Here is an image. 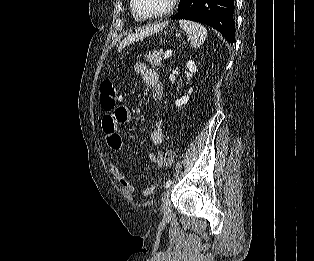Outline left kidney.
<instances>
[{"label":"left kidney","instance_id":"5707ae66","mask_svg":"<svg viewBox=\"0 0 314 261\" xmlns=\"http://www.w3.org/2000/svg\"><path fill=\"white\" fill-rule=\"evenodd\" d=\"M186 68L191 72V73H195L197 71V66L195 65V62L192 61V60H189L187 63H186ZM193 92V88L191 87L189 90H188V95H185L183 96L182 98L180 99H177L175 101V105L176 107L180 108L182 107V105H185L187 104V102L189 101V95Z\"/></svg>","mask_w":314,"mask_h":261}]
</instances>
